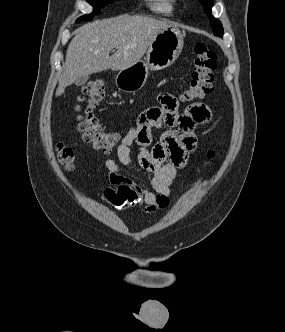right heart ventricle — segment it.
I'll return each mask as SVG.
<instances>
[{
    "label": "right heart ventricle",
    "mask_w": 285,
    "mask_h": 332,
    "mask_svg": "<svg viewBox=\"0 0 285 332\" xmlns=\"http://www.w3.org/2000/svg\"><path fill=\"white\" fill-rule=\"evenodd\" d=\"M149 9L161 16L170 17L175 10V0H146Z\"/></svg>",
    "instance_id": "right-heart-ventricle-1"
}]
</instances>
